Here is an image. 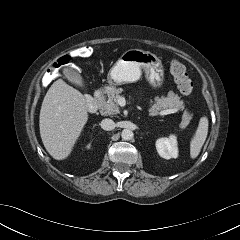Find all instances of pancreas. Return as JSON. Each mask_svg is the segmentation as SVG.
<instances>
[{
    "mask_svg": "<svg viewBox=\"0 0 240 240\" xmlns=\"http://www.w3.org/2000/svg\"><path fill=\"white\" fill-rule=\"evenodd\" d=\"M123 89L118 88L110 92L107 99H102L100 104V113L104 116H112L120 112L117 99L121 96ZM168 108H174L177 111H183L185 105L183 100L180 99L178 94L170 91L167 97H162L156 100V102L148 109L150 116L159 115L163 110ZM192 117V114L188 110H184L182 116L183 124L187 123Z\"/></svg>",
    "mask_w": 240,
    "mask_h": 240,
    "instance_id": "1",
    "label": "pancreas"
}]
</instances>
